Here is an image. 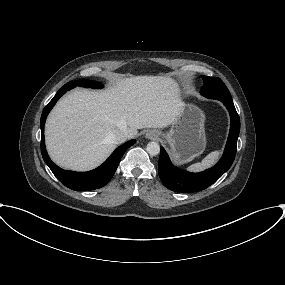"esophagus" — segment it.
<instances>
[{
    "instance_id": "esophagus-1",
    "label": "esophagus",
    "mask_w": 285,
    "mask_h": 285,
    "mask_svg": "<svg viewBox=\"0 0 285 285\" xmlns=\"http://www.w3.org/2000/svg\"><path fill=\"white\" fill-rule=\"evenodd\" d=\"M145 136H146V138H148V139L155 140V139L158 138L159 134H158V132L155 131V130H149V131H147V133H146Z\"/></svg>"
}]
</instances>
